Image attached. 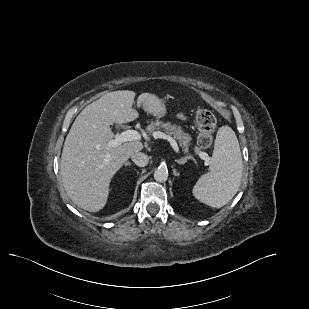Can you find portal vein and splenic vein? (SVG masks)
<instances>
[{
	"mask_svg": "<svg viewBox=\"0 0 309 309\" xmlns=\"http://www.w3.org/2000/svg\"><path fill=\"white\" fill-rule=\"evenodd\" d=\"M153 137L155 139L157 138H160V139H164V140H167L171 147L173 148V150L176 152V153H179V147H178V144L177 142L173 139V137H171L170 135H167L161 131H156L153 133ZM141 139V135L139 134V132L135 131V130H126L122 133H120L119 135H117L115 137V139L111 140L109 143H108V146L109 147H115L123 142H127V141H134V140H140ZM200 158L205 160V165H208L209 164V161H208V155L205 153V152H201L200 153Z\"/></svg>",
	"mask_w": 309,
	"mask_h": 309,
	"instance_id": "obj_1",
	"label": "portal vein and splenic vein"
}]
</instances>
